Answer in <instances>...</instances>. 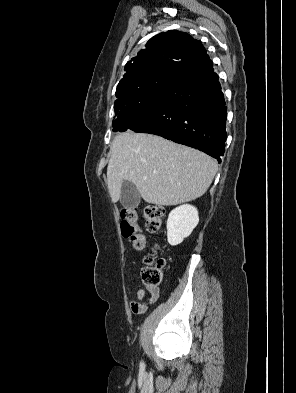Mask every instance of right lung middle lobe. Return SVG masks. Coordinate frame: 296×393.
<instances>
[{"label":"right lung middle lobe","instance_id":"obj_1","mask_svg":"<svg viewBox=\"0 0 296 393\" xmlns=\"http://www.w3.org/2000/svg\"><path fill=\"white\" fill-rule=\"evenodd\" d=\"M171 77H156L149 80L143 87L142 91L135 97L127 101H121L114 104L117 118L113 120V131H122L125 125L143 112L150 105L159 90L169 82Z\"/></svg>","mask_w":296,"mask_h":393}]
</instances>
